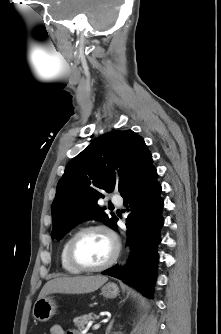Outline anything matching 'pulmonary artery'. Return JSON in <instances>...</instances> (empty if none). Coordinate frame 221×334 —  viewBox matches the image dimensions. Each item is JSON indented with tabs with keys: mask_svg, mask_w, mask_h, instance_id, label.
I'll return each mask as SVG.
<instances>
[{
	"mask_svg": "<svg viewBox=\"0 0 221 334\" xmlns=\"http://www.w3.org/2000/svg\"><path fill=\"white\" fill-rule=\"evenodd\" d=\"M112 202L116 205H121L122 204V199L119 197H112Z\"/></svg>",
	"mask_w": 221,
	"mask_h": 334,
	"instance_id": "pulmonary-artery-1",
	"label": "pulmonary artery"
}]
</instances>
